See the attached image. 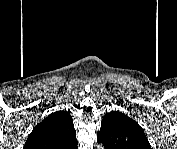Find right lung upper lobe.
Returning a JSON list of instances; mask_svg holds the SVG:
<instances>
[{
    "mask_svg": "<svg viewBox=\"0 0 177 149\" xmlns=\"http://www.w3.org/2000/svg\"><path fill=\"white\" fill-rule=\"evenodd\" d=\"M24 148L76 149V131L70 114L66 111L51 113L34 127Z\"/></svg>",
    "mask_w": 177,
    "mask_h": 149,
    "instance_id": "obj_1",
    "label": "right lung upper lobe"
}]
</instances>
